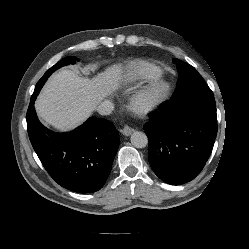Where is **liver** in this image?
I'll list each match as a JSON object with an SVG mask.
<instances>
[{
  "mask_svg": "<svg viewBox=\"0 0 249 249\" xmlns=\"http://www.w3.org/2000/svg\"><path fill=\"white\" fill-rule=\"evenodd\" d=\"M122 81L121 66H113L89 79L71 70H60L46 83L35 104L41 120L60 131L84 122Z\"/></svg>",
  "mask_w": 249,
  "mask_h": 249,
  "instance_id": "obj_1",
  "label": "liver"
}]
</instances>
